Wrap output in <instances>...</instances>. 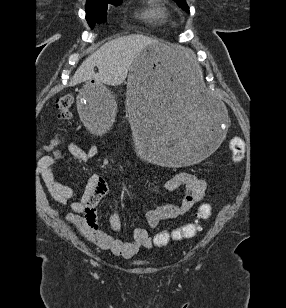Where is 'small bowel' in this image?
<instances>
[{
    "mask_svg": "<svg viewBox=\"0 0 286 308\" xmlns=\"http://www.w3.org/2000/svg\"><path fill=\"white\" fill-rule=\"evenodd\" d=\"M57 140L44 146L49 151L58 146ZM71 155L86 160L96 154V147L82 150L73 143L67 145ZM56 160L49 155L41 158L40 173L52 198L61 204L78 196L73 188L59 182L53 173ZM167 190L175 191L184 189V196L180 202H169L150 209L145 214V220L149 228L157 227L162 221L181 217L188 213L203 197L207 188L205 180L189 172H178L164 183ZM108 184L100 174H92L87 178L84 189L78 200L71 203L72 212L67 214V220L73 224L81 234L93 244L103 249L110 250L114 255L131 258L142 248H150L151 238L147 229L136 228L133 240L130 242L118 239L99 229L96 206L108 193ZM54 212L53 210H51ZM109 224L114 232H118L121 222L118 213L113 210L109 215Z\"/></svg>",
    "mask_w": 286,
    "mask_h": 308,
    "instance_id": "1",
    "label": "small bowel"
}]
</instances>
